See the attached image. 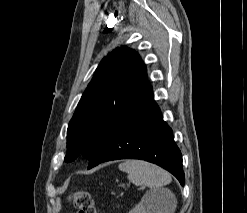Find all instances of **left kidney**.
<instances>
[{
	"mask_svg": "<svg viewBox=\"0 0 247 213\" xmlns=\"http://www.w3.org/2000/svg\"><path fill=\"white\" fill-rule=\"evenodd\" d=\"M129 213H160L158 205L152 192H147L141 202L137 204Z\"/></svg>",
	"mask_w": 247,
	"mask_h": 213,
	"instance_id": "5707ae66",
	"label": "left kidney"
}]
</instances>
